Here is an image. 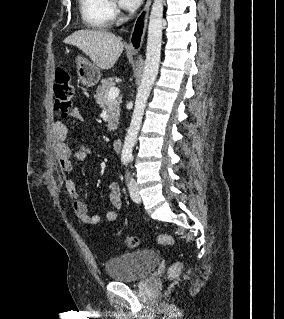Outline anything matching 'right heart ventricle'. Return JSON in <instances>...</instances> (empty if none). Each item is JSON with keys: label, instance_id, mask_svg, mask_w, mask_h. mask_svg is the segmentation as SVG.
<instances>
[{"label": "right heart ventricle", "instance_id": "obj_1", "mask_svg": "<svg viewBox=\"0 0 284 319\" xmlns=\"http://www.w3.org/2000/svg\"><path fill=\"white\" fill-rule=\"evenodd\" d=\"M79 9L82 20L91 28L105 29L113 21L109 0H79Z\"/></svg>", "mask_w": 284, "mask_h": 319}]
</instances>
